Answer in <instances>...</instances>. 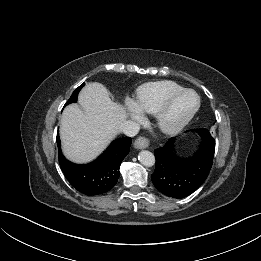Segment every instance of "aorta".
I'll return each instance as SVG.
<instances>
[{"instance_id": "obj_1", "label": "aorta", "mask_w": 261, "mask_h": 261, "mask_svg": "<svg viewBox=\"0 0 261 261\" xmlns=\"http://www.w3.org/2000/svg\"><path fill=\"white\" fill-rule=\"evenodd\" d=\"M139 161L146 167H151L155 164V156L152 152L143 150L139 153Z\"/></svg>"}]
</instances>
